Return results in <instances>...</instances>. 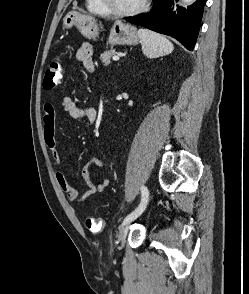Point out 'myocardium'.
<instances>
[{"label":"myocardium","mask_w":249,"mask_h":294,"mask_svg":"<svg viewBox=\"0 0 249 294\" xmlns=\"http://www.w3.org/2000/svg\"><path fill=\"white\" fill-rule=\"evenodd\" d=\"M99 1L102 7L106 10L107 15H111L115 17H130V16H134L143 12L147 8L150 0H142L138 6L126 11L115 10L109 5L107 0H99Z\"/></svg>","instance_id":"obj_1"}]
</instances>
